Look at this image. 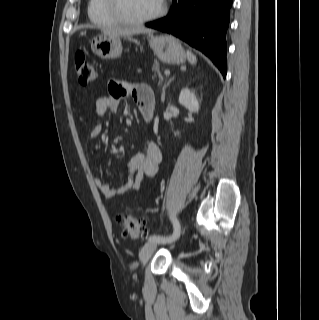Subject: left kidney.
Wrapping results in <instances>:
<instances>
[{"instance_id": "5707ae66", "label": "left kidney", "mask_w": 319, "mask_h": 320, "mask_svg": "<svg viewBox=\"0 0 319 320\" xmlns=\"http://www.w3.org/2000/svg\"><path fill=\"white\" fill-rule=\"evenodd\" d=\"M179 103L186 107L191 113H197L199 111V102L194 93L188 88L181 90Z\"/></svg>"}]
</instances>
